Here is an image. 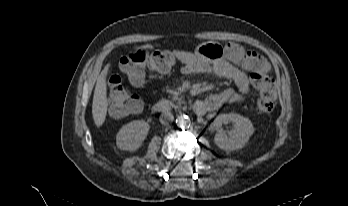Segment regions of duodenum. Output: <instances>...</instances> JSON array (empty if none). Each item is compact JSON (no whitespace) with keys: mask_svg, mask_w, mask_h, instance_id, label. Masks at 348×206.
Returning <instances> with one entry per match:
<instances>
[{"mask_svg":"<svg viewBox=\"0 0 348 206\" xmlns=\"http://www.w3.org/2000/svg\"><path fill=\"white\" fill-rule=\"evenodd\" d=\"M211 101H196L193 105V112L196 115H204L210 110ZM173 103L168 100H160L153 105V110L157 113H169L173 110Z\"/></svg>","mask_w":348,"mask_h":206,"instance_id":"1","label":"duodenum"}]
</instances>
